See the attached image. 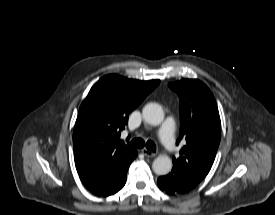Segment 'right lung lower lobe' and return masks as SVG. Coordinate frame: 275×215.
<instances>
[{
	"instance_id": "98d812e1",
	"label": "right lung lower lobe",
	"mask_w": 275,
	"mask_h": 215,
	"mask_svg": "<svg viewBox=\"0 0 275 215\" xmlns=\"http://www.w3.org/2000/svg\"><path fill=\"white\" fill-rule=\"evenodd\" d=\"M136 156L137 152L120 163L101 166L81 178V181L93 194L110 196L125 185L128 168Z\"/></svg>"
}]
</instances>
